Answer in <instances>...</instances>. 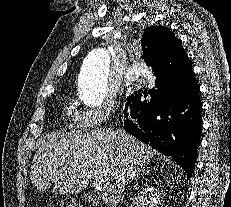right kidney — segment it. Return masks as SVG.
<instances>
[{"label": "right kidney", "mask_w": 231, "mask_h": 207, "mask_svg": "<svg viewBox=\"0 0 231 207\" xmlns=\"http://www.w3.org/2000/svg\"><path fill=\"white\" fill-rule=\"evenodd\" d=\"M134 207H158L160 205L159 194L152 187L140 191L134 199Z\"/></svg>", "instance_id": "right-kidney-1"}]
</instances>
